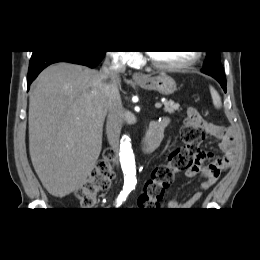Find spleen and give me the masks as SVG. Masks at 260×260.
<instances>
[{
  "label": "spleen",
  "instance_id": "spleen-1",
  "mask_svg": "<svg viewBox=\"0 0 260 260\" xmlns=\"http://www.w3.org/2000/svg\"><path fill=\"white\" fill-rule=\"evenodd\" d=\"M210 93H211L212 101H213L215 108L220 109L222 106L220 95L213 87H210Z\"/></svg>",
  "mask_w": 260,
  "mask_h": 260
}]
</instances>
